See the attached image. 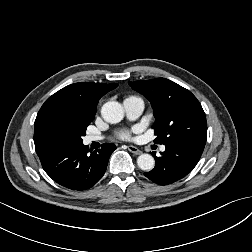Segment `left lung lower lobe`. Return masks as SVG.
Listing matches in <instances>:
<instances>
[{
    "label": "left lung lower lobe",
    "instance_id": "0a47b994",
    "mask_svg": "<svg viewBox=\"0 0 252 252\" xmlns=\"http://www.w3.org/2000/svg\"><path fill=\"white\" fill-rule=\"evenodd\" d=\"M166 150L161 157L153 156L156 160L155 168L144 175L159 185H168L184 178L198 163L203 145L193 142H179L165 145Z\"/></svg>",
    "mask_w": 252,
    "mask_h": 252
}]
</instances>
